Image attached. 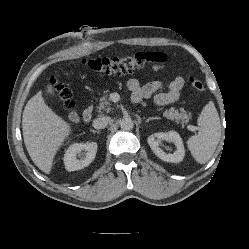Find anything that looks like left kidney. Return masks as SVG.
<instances>
[{
	"mask_svg": "<svg viewBox=\"0 0 249 249\" xmlns=\"http://www.w3.org/2000/svg\"><path fill=\"white\" fill-rule=\"evenodd\" d=\"M162 140L174 143L176 150L174 153H165L162 148L159 147ZM148 144L154 154L161 160L171 163L181 162L185 156L184 145L181 136L175 131H169L167 133L159 132L148 137Z\"/></svg>",
	"mask_w": 249,
	"mask_h": 249,
	"instance_id": "obj_1",
	"label": "left kidney"
}]
</instances>
